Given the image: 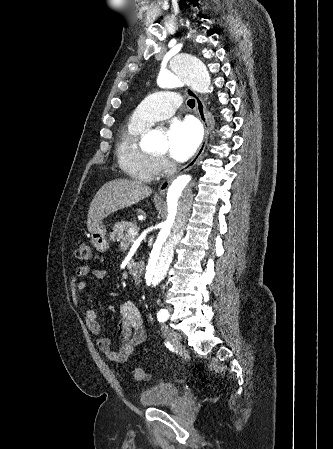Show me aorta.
<instances>
[{
	"label": "aorta",
	"instance_id": "obj_1",
	"mask_svg": "<svg viewBox=\"0 0 333 449\" xmlns=\"http://www.w3.org/2000/svg\"><path fill=\"white\" fill-rule=\"evenodd\" d=\"M158 83L163 88L188 85L204 94L212 89L206 65L192 55L172 57L167 68L159 73ZM145 140L153 149H167L166 141L157 133L149 132ZM197 184L195 176L181 175L175 178L168 188V216L161 224L146 267L145 280L148 286H156L168 271L174 248L181 239L191 214Z\"/></svg>",
	"mask_w": 333,
	"mask_h": 449
}]
</instances>
